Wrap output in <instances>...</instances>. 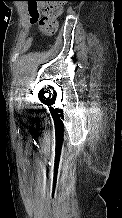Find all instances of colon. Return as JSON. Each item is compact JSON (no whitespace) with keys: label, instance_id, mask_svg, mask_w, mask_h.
Wrapping results in <instances>:
<instances>
[{"label":"colon","instance_id":"1","mask_svg":"<svg viewBox=\"0 0 122 218\" xmlns=\"http://www.w3.org/2000/svg\"><path fill=\"white\" fill-rule=\"evenodd\" d=\"M63 1L65 0H28L31 23H38L44 34L54 33L57 29L58 17L62 12ZM37 4L41 5L40 11L36 8Z\"/></svg>","mask_w":122,"mask_h":218}]
</instances>
